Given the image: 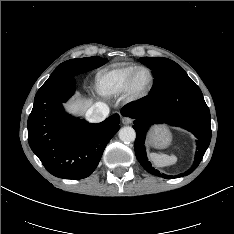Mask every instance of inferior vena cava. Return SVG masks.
<instances>
[{"label": "inferior vena cava", "instance_id": "inferior-vena-cava-1", "mask_svg": "<svg viewBox=\"0 0 234 234\" xmlns=\"http://www.w3.org/2000/svg\"><path fill=\"white\" fill-rule=\"evenodd\" d=\"M109 114V107L103 102L95 103L86 112V118L92 123H99L106 119Z\"/></svg>", "mask_w": 234, "mask_h": 234}]
</instances>
